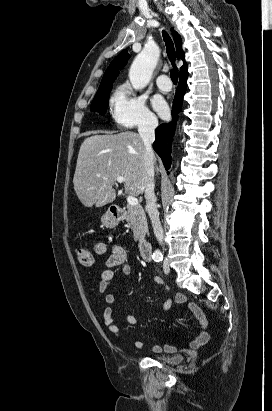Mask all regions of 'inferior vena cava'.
Segmentation results:
<instances>
[{
  "label": "inferior vena cava",
  "mask_w": 272,
  "mask_h": 411,
  "mask_svg": "<svg viewBox=\"0 0 272 411\" xmlns=\"http://www.w3.org/2000/svg\"><path fill=\"white\" fill-rule=\"evenodd\" d=\"M158 121L155 117H146L138 126L139 135L145 147L144 166L146 174L145 199L146 211L150 217L154 234L158 242L163 245V228L159 219V212L156 207V196L154 193V152L152 143L155 140V129Z\"/></svg>",
  "instance_id": "inferior-vena-cava-1"
}]
</instances>
